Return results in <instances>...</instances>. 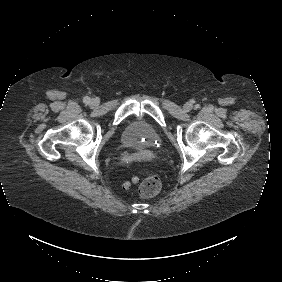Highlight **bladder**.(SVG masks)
<instances>
[{
  "label": "bladder",
  "instance_id": "bladder-1",
  "mask_svg": "<svg viewBox=\"0 0 282 282\" xmlns=\"http://www.w3.org/2000/svg\"><path fill=\"white\" fill-rule=\"evenodd\" d=\"M122 144L132 150H152L161 137L155 126L144 118L129 121L121 133Z\"/></svg>",
  "mask_w": 282,
  "mask_h": 282
}]
</instances>
